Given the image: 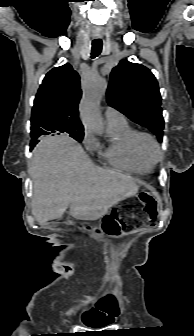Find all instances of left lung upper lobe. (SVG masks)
<instances>
[{
	"label": "left lung upper lobe",
	"instance_id": "1",
	"mask_svg": "<svg viewBox=\"0 0 194 336\" xmlns=\"http://www.w3.org/2000/svg\"><path fill=\"white\" fill-rule=\"evenodd\" d=\"M108 103L162 140L164 119L156 78L141 64L122 60L111 72Z\"/></svg>",
	"mask_w": 194,
	"mask_h": 336
}]
</instances>
